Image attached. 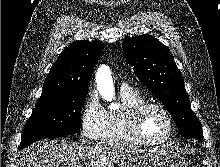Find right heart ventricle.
I'll return each mask as SVG.
<instances>
[{
	"instance_id": "e07e8e85",
	"label": "right heart ventricle",
	"mask_w": 220,
	"mask_h": 167,
	"mask_svg": "<svg viewBox=\"0 0 220 167\" xmlns=\"http://www.w3.org/2000/svg\"><path fill=\"white\" fill-rule=\"evenodd\" d=\"M122 107L118 110L107 111L106 122L101 144L106 146H131L136 145L127 131V114L137 104L145 102V99L134 90H121Z\"/></svg>"
}]
</instances>
